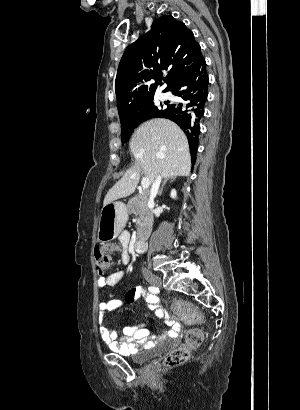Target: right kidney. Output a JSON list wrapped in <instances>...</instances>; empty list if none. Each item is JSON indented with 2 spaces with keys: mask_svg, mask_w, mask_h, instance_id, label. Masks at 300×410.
Listing matches in <instances>:
<instances>
[{
  "mask_svg": "<svg viewBox=\"0 0 300 410\" xmlns=\"http://www.w3.org/2000/svg\"><path fill=\"white\" fill-rule=\"evenodd\" d=\"M170 197L173 198V199H175V198L177 197V192H176V190L173 189V190L171 191Z\"/></svg>",
  "mask_w": 300,
  "mask_h": 410,
  "instance_id": "right-kidney-1",
  "label": "right kidney"
}]
</instances>
